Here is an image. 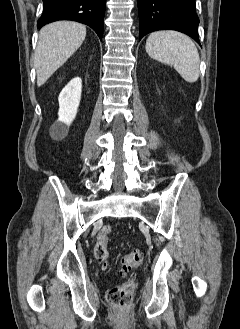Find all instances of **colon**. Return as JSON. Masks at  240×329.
<instances>
[{
	"label": "colon",
	"instance_id": "colon-1",
	"mask_svg": "<svg viewBox=\"0 0 240 329\" xmlns=\"http://www.w3.org/2000/svg\"><path fill=\"white\" fill-rule=\"evenodd\" d=\"M111 232L112 227L110 225H104L97 235V242L94 249L96 259L105 267L109 265V254L106 245ZM142 260L143 254L140 251H132L123 255L121 257L122 273L124 275L127 274L129 271L139 266ZM134 289L135 285L133 280L127 279L109 289L107 293L108 302L115 307L128 310L133 303Z\"/></svg>",
	"mask_w": 240,
	"mask_h": 329
}]
</instances>
